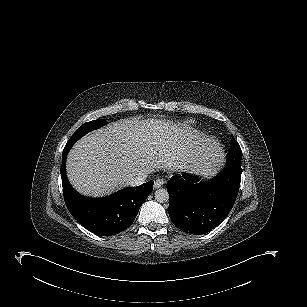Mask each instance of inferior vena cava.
I'll return each mask as SVG.
<instances>
[{
    "mask_svg": "<svg viewBox=\"0 0 307 307\" xmlns=\"http://www.w3.org/2000/svg\"><path fill=\"white\" fill-rule=\"evenodd\" d=\"M149 173H140L135 177H132L130 179V181L128 182L129 186H139L142 185L143 183H145L147 181V177H148Z\"/></svg>",
    "mask_w": 307,
    "mask_h": 307,
    "instance_id": "obj_1",
    "label": "inferior vena cava"
}]
</instances>
